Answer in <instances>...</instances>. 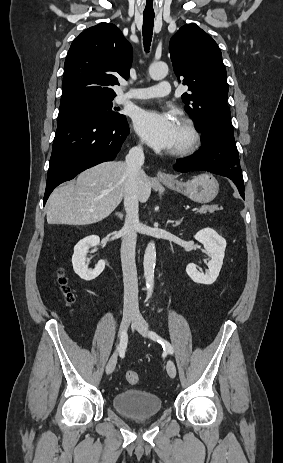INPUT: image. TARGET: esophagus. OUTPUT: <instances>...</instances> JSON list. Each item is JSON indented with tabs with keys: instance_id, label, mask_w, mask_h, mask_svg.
Returning a JSON list of instances; mask_svg holds the SVG:
<instances>
[{
	"instance_id": "obj_1",
	"label": "esophagus",
	"mask_w": 283,
	"mask_h": 463,
	"mask_svg": "<svg viewBox=\"0 0 283 463\" xmlns=\"http://www.w3.org/2000/svg\"><path fill=\"white\" fill-rule=\"evenodd\" d=\"M157 178L160 181H163V182H168V181L172 180L171 176H169V175H167V174H165L164 172H161V171L157 172Z\"/></svg>"
}]
</instances>
